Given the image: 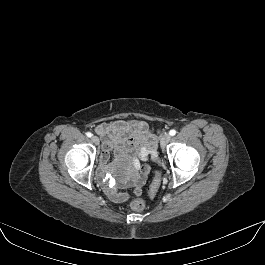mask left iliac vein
<instances>
[{"mask_svg": "<svg viewBox=\"0 0 265 265\" xmlns=\"http://www.w3.org/2000/svg\"><path fill=\"white\" fill-rule=\"evenodd\" d=\"M171 137L168 133H165L161 138V146L164 148L170 141Z\"/></svg>", "mask_w": 265, "mask_h": 265, "instance_id": "4c4485c4", "label": "left iliac vein"}]
</instances>
